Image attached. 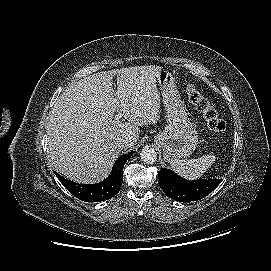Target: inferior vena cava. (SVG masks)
Masks as SVG:
<instances>
[{
	"instance_id": "inferior-vena-cava-1",
	"label": "inferior vena cava",
	"mask_w": 271,
	"mask_h": 271,
	"mask_svg": "<svg viewBox=\"0 0 271 271\" xmlns=\"http://www.w3.org/2000/svg\"><path fill=\"white\" fill-rule=\"evenodd\" d=\"M117 144L120 148L124 149L131 147L133 145V142L130 136H123L117 140Z\"/></svg>"
}]
</instances>
